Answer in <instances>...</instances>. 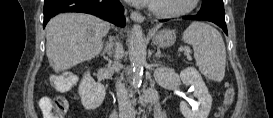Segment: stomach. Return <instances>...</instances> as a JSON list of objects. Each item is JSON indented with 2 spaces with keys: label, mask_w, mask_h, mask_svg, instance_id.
I'll return each mask as SVG.
<instances>
[{
  "label": "stomach",
  "mask_w": 273,
  "mask_h": 118,
  "mask_svg": "<svg viewBox=\"0 0 273 118\" xmlns=\"http://www.w3.org/2000/svg\"><path fill=\"white\" fill-rule=\"evenodd\" d=\"M176 40L174 31L161 30L158 31L154 36V42L158 47L166 48L172 46Z\"/></svg>",
  "instance_id": "1"
}]
</instances>
